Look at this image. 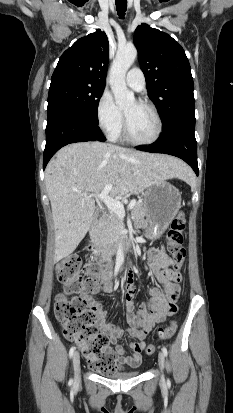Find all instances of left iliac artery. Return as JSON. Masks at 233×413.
<instances>
[{"instance_id": "1", "label": "left iliac artery", "mask_w": 233, "mask_h": 413, "mask_svg": "<svg viewBox=\"0 0 233 413\" xmlns=\"http://www.w3.org/2000/svg\"><path fill=\"white\" fill-rule=\"evenodd\" d=\"M162 351H163L164 355L167 356V354H168L167 348L163 346Z\"/></svg>"}]
</instances>
